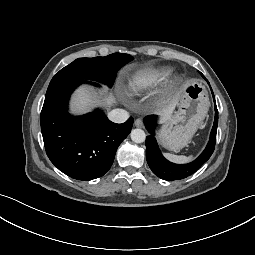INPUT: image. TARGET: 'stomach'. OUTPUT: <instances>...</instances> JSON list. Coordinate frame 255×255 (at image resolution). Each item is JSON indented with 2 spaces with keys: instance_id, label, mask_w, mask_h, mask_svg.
<instances>
[{
  "instance_id": "stomach-1",
  "label": "stomach",
  "mask_w": 255,
  "mask_h": 255,
  "mask_svg": "<svg viewBox=\"0 0 255 255\" xmlns=\"http://www.w3.org/2000/svg\"><path fill=\"white\" fill-rule=\"evenodd\" d=\"M209 108L207 92L200 83L190 82L180 93L178 111L168 117L158 133L160 144L179 151L190 143Z\"/></svg>"
}]
</instances>
